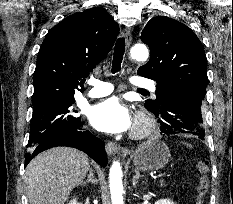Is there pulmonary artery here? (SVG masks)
Here are the masks:
<instances>
[{
    "instance_id": "1",
    "label": "pulmonary artery",
    "mask_w": 233,
    "mask_h": 204,
    "mask_svg": "<svg viewBox=\"0 0 233 204\" xmlns=\"http://www.w3.org/2000/svg\"><path fill=\"white\" fill-rule=\"evenodd\" d=\"M92 89L87 93L88 97L98 98L109 95L113 91V85L109 82L100 81L97 79L91 80ZM131 83L137 88H146L152 91L156 90L155 83L147 78L141 76H134L131 78Z\"/></svg>"
}]
</instances>
